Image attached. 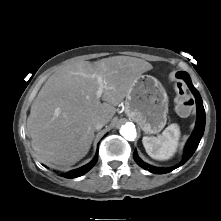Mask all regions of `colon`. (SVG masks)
I'll list each match as a JSON object with an SVG mask.
<instances>
[{"label": "colon", "mask_w": 221, "mask_h": 221, "mask_svg": "<svg viewBox=\"0 0 221 221\" xmlns=\"http://www.w3.org/2000/svg\"><path fill=\"white\" fill-rule=\"evenodd\" d=\"M176 90V111L181 116H188L192 109V99L189 97L184 84L178 82L175 85Z\"/></svg>", "instance_id": "colon-1"}]
</instances>
